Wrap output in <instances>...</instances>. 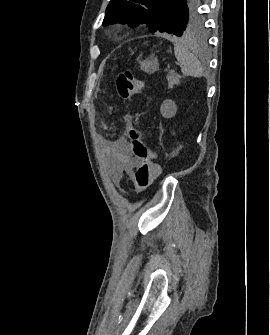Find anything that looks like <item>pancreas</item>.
<instances>
[{"instance_id":"cf45deb5","label":"pancreas","mask_w":270,"mask_h":335,"mask_svg":"<svg viewBox=\"0 0 270 335\" xmlns=\"http://www.w3.org/2000/svg\"><path fill=\"white\" fill-rule=\"evenodd\" d=\"M166 78L168 80V88L170 90V88H173L174 84H177V86H179L180 78H182V76H178V74H175V72H170V74H168Z\"/></svg>"}]
</instances>
